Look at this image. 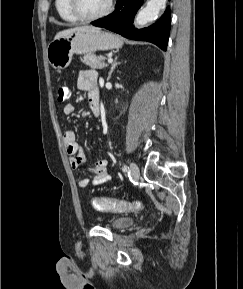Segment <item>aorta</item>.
<instances>
[{"label":"aorta","mask_w":243,"mask_h":289,"mask_svg":"<svg viewBox=\"0 0 243 289\" xmlns=\"http://www.w3.org/2000/svg\"><path fill=\"white\" fill-rule=\"evenodd\" d=\"M165 4L166 0H149L146 6L138 12L134 22L135 25L144 26L154 21L161 9L165 7Z\"/></svg>","instance_id":"aorta-1"}]
</instances>
